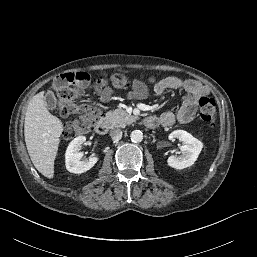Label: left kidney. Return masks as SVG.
<instances>
[{
	"mask_svg": "<svg viewBox=\"0 0 257 257\" xmlns=\"http://www.w3.org/2000/svg\"><path fill=\"white\" fill-rule=\"evenodd\" d=\"M169 139H178L184 142V145L181 147L182 155L170 156L167 160L168 165L177 170L192 166L203 148V143L184 130L173 131Z\"/></svg>",
	"mask_w": 257,
	"mask_h": 257,
	"instance_id": "obj_1",
	"label": "left kidney"
}]
</instances>
